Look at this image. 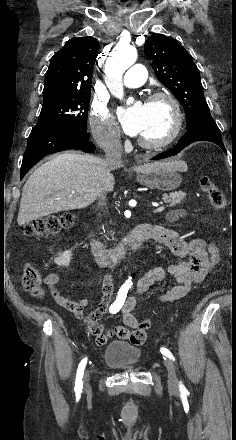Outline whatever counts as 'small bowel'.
Returning <instances> with one entry per match:
<instances>
[{"label": "small bowel", "instance_id": "c3829d8e", "mask_svg": "<svg viewBox=\"0 0 236 440\" xmlns=\"http://www.w3.org/2000/svg\"><path fill=\"white\" fill-rule=\"evenodd\" d=\"M184 216V211H173L167 215L166 225L154 226L152 238L165 245L178 262L163 267H156L140 277L137 283L139 293L146 292L153 284L163 280L166 276H173L178 284L168 291L160 294V302H172L185 297L190 291L192 285L200 283L209 275L221 260L220 251L214 245L208 246L201 239H193L190 242L184 241L177 231L168 226ZM208 250V251H207ZM210 253V256L208 255ZM59 277L56 273H50L46 277V285L54 301L61 307L73 313L77 318L83 316L84 309L89 301L85 297L74 296L73 291H60L56 288ZM113 295V280L106 276L102 283V298L97 308L88 316L89 321L83 322V329L95 336L96 344L103 345L110 336L117 335L122 339H144L145 331L139 330V322L133 314L136 306V299L128 297L122 306L123 323L116 328L111 327L108 334L103 333V326L99 319L105 314L111 303ZM144 340L133 342L141 344Z\"/></svg>", "mask_w": 236, "mask_h": 440}]
</instances>
